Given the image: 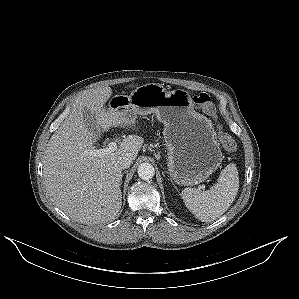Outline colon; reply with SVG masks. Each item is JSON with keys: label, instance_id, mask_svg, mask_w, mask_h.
Returning <instances> with one entry per match:
<instances>
[{"label": "colon", "instance_id": "colon-1", "mask_svg": "<svg viewBox=\"0 0 299 299\" xmlns=\"http://www.w3.org/2000/svg\"><path fill=\"white\" fill-rule=\"evenodd\" d=\"M193 101L207 114L216 118V109L209 95L206 93H200L194 96ZM218 139L221 145L228 151L235 149L236 144L233 138L227 133L220 131Z\"/></svg>", "mask_w": 299, "mask_h": 299}]
</instances>
